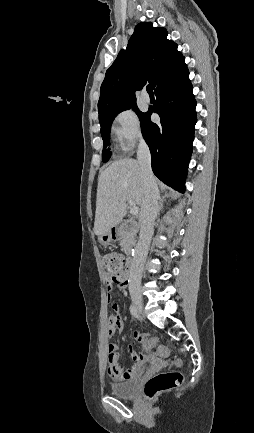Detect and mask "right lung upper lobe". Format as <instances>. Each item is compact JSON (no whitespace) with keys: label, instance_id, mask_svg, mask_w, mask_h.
<instances>
[{"label":"right lung upper lobe","instance_id":"cb5924a9","mask_svg":"<svg viewBox=\"0 0 254 433\" xmlns=\"http://www.w3.org/2000/svg\"><path fill=\"white\" fill-rule=\"evenodd\" d=\"M183 55L167 39L164 28L139 23L126 50H121L105 74L98 101L99 118L106 112L136 102L135 90L148 81L155 89L179 64Z\"/></svg>","mask_w":254,"mask_h":433}]
</instances>
